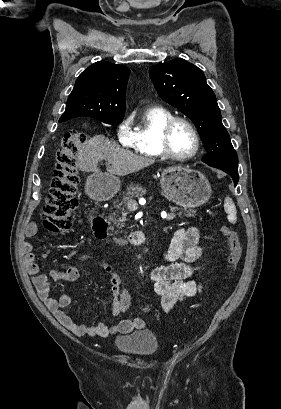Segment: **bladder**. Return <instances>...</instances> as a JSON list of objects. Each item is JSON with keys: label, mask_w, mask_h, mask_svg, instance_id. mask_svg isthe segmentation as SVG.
Returning a JSON list of instances; mask_svg holds the SVG:
<instances>
[{"label": "bladder", "mask_w": 281, "mask_h": 409, "mask_svg": "<svg viewBox=\"0 0 281 409\" xmlns=\"http://www.w3.org/2000/svg\"><path fill=\"white\" fill-rule=\"evenodd\" d=\"M113 346L120 354L142 359L151 358L160 351L159 339L150 328H137L128 335H116Z\"/></svg>", "instance_id": "obj_1"}]
</instances>
